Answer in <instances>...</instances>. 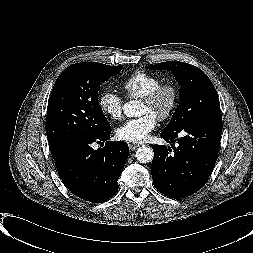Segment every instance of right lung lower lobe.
I'll use <instances>...</instances> for the list:
<instances>
[{
    "instance_id": "obj_1",
    "label": "right lung lower lobe",
    "mask_w": 253,
    "mask_h": 253,
    "mask_svg": "<svg viewBox=\"0 0 253 253\" xmlns=\"http://www.w3.org/2000/svg\"><path fill=\"white\" fill-rule=\"evenodd\" d=\"M111 127L96 135H82L68 142L53 154L57 171L65 186L77 197L102 203L118 191L129 148L126 142L107 141ZM105 143L94 150L93 143Z\"/></svg>"
}]
</instances>
